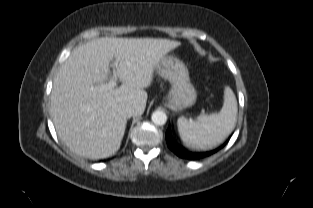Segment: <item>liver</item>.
Instances as JSON below:
<instances>
[{"instance_id": "obj_1", "label": "liver", "mask_w": 313, "mask_h": 208, "mask_svg": "<svg viewBox=\"0 0 313 208\" xmlns=\"http://www.w3.org/2000/svg\"><path fill=\"white\" fill-rule=\"evenodd\" d=\"M181 45L156 38L102 37L75 48L59 68L51 93V114L61 141L76 154L99 159L120 148L127 118L122 104L143 114L147 92L160 60ZM119 60L113 74L123 83L117 88L91 91L107 85L111 60Z\"/></svg>"}]
</instances>
